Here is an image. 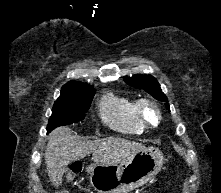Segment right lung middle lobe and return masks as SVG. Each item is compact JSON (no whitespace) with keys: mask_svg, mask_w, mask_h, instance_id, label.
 <instances>
[{"mask_svg":"<svg viewBox=\"0 0 221 193\" xmlns=\"http://www.w3.org/2000/svg\"><path fill=\"white\" fill-rule=\"evenodd\" d=\"M93 96L94 90H92V86L61 90L60 97L53 105L47 131L50 132L58 126L83 120Z\"/></svg>","mask_w":221,"mask_h":193,"instance_id":"obj_1","label":"right lung middle lobe"}]
</instances>
